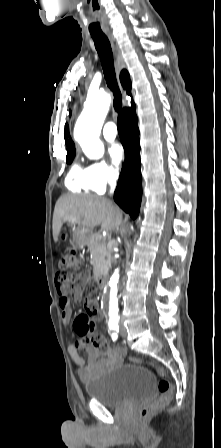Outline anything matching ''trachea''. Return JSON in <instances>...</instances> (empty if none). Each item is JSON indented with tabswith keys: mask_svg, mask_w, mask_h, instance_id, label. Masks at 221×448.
I'll return each instance as SVG.
<instances>
[{
	"mask_svg": "<svg viewBox=\"0 0 221 448\" xmlns=\"http://www.w3.org/2000/svg\"><path fill=\"white\" fill-rule=\"evenodd\" d=\"M96 50L100 57L103 73L109 89L113 92V106L116 112L122 108V95L119 90L114 69L113 53L110 42L105 35L92 36Z\"/></svg>",
	"mask_w": 221,
	"mask_h": 448,
	"instance_id": "1",
	"label": "trachea"
}]
</instances>
